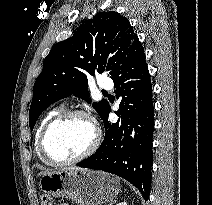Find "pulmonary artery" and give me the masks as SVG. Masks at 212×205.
Segmentation results:
<instances>
[{
	"label": "pulmonary artery",
	"instance_id": "obj_1",
	"mask_svg": "<svg viewBox=\"0 0 212 205\" xmlns=\"http://www.w3.org/2000/svg\"><path fill=\"white\" fill-rule=\"evenodd\" d=\"M99 88L102 90H111L113 88V82L109 78H102L99 81Z\"/></svg>",
	"mask_w": 212,
	"mask_h": 205
}]
</instances>
